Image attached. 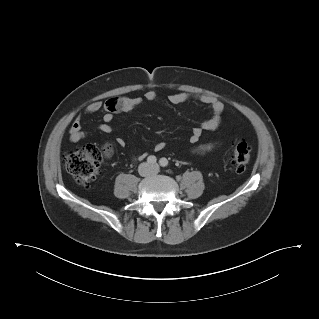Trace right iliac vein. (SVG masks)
<instances>
[{
	"instance_id": "right-iliac-vein-1",
	"label": "right iliac vein",
	"mask_w": 319,
	"mask_h": 319,
	"mask_svg": "<svg viewBox=\"0 0 319 319\" xmlns=\"http://www.w3.org/2000/svg\"><path fill=\"white\" fill-rule=\"evenodd\" d=\"M142 173H145V174L148 173V166L147 165L143 166Z\"/></svg>"
}]
</instances>
